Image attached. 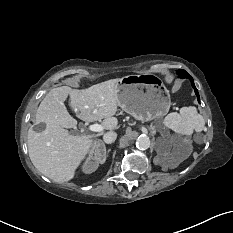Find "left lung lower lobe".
Segmentation results:
<instances>
[{"mask_svg": "<svg viewBox=\"0 0 233 233\" xmlns=\"http://www.w3.org/2000/svg\"><path fill=\"white\" fill-rule=\"evenodd\" d=\"M177 74L179 75L180 78H188V79H190L191 84H192V87H193V89H194V91H195V94H196V96H197L198 102L200 103L199 93H198L197 88L195 87L193 78H192L185 70H182V71H180V72H177Z\"/></svg>", "mask_w": 233, "mask_h": 233, "instance_id": "left-lung-lower-lobe-1", "label": "left lung lower lobe"}]
</instances>
